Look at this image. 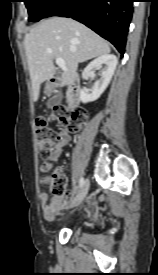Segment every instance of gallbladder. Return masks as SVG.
I'll list each match as a JSON object with an SVG mask.
<instances>
[{
    "instance_id": "bac80fb5",
    "label": "gallbladder",
    "mask_w": 158,
    "mask_h": 275,
    "mask_svg": "<svg viewBox=\"0 0 158 275\" xmlns=\"http://www.w3.org/2000/svg\"><path fill=\"white\" fill-rule=\"evenodd\" d=\"M63 95L61 89H59L52 97L47 101V107L51 108L55 105H58L62 101Z\"/></svg>"
}]
</instances>
